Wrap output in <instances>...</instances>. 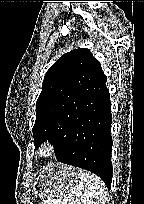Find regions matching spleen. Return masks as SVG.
I'll return each mask as SVG.
<instances>
[{
	"mask_svg": "<svg viewBox=\"0 0 144 204\" xmlns=\"http://www.w3.org/2000/svg\"><path fill=\"white\" fill-rule=\"evenodd\" d=\"M76 190L61 194L57 198L45 201L44 204H105L106 186L95 174L80 171Z\"/></svg>",
	"mask_w": 144,
	"mask_h": 204,
	"instance_id": "1",
	"label": "spleen"
}]
</instances>
